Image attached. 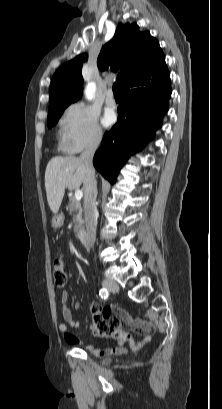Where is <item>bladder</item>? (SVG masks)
I'll list each match as a JSON object with an SVG mask.
<instances>
[{
  "label": "bladder",
  "instance_id": "bladder-1",
  "mask_svg": "<svg viewBox=\"0 0 222 409\" xmlns=\"http://www.w3.org/2000/svg\"><path fill=\"white\" fill-rule=\"evenodd\" d=\"M102 362H103V364H107V363L109 362V359H108V358H104V359L102 360Z\"/></svg>",
  "mask_w": 222,
  "mask_h": 409
}]
</instances>
